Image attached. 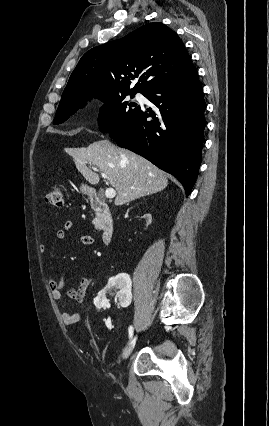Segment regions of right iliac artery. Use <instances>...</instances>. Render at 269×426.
Here are the masks:
<instances>
[{
	"instance_id": "82829eb1",
	"label": "right iliac artery",
	"mask_w": 269,
	"mask_h": 426,
	"mask_svg": "<svg viewBox=\"0 0 269 426\" xmlns=\"http://www.w3.org/2000/svg\"><path fill=\"white\" fill-rule=\"evenodd\" d=\"M128 332H129V338H132V336H133V327L132 326H130L128 328Z\"/></svg>"
}]
</instances>
